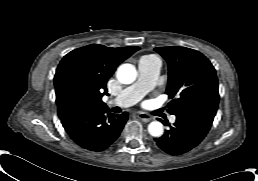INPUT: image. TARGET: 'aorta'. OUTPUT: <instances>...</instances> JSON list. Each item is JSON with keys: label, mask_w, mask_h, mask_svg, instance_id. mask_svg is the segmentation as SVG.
I'll list each match as a JSON object with an SVG mask.
<instances>
[{"label": "aorta", "mask_w": 258, "mask_h": 181, "mask_svg": "<svg viewBox=\"0 0 258 181\" xmlns=\"http://www.w3.org/2000/svg\"><path fill=\"white\" fill-rule=\"evenodd\" d=\"M116 76L122 84H131L137 78V71L132 64H122L117 69ZM148 132L154 137H160L163 134V124L159 121L151 122L148 125Z\"/></svg>", "instance_id": "aorta-1"}]
</instances>
